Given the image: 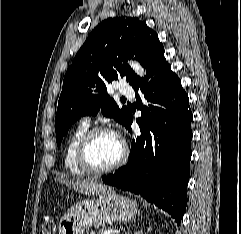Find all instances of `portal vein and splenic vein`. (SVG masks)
<instances>
[{"label":"portal vein and splenic vein","mask_w":241,"mask_h":234,"mask_svg":"<svg viewBox=\"0 0 241 234\" xmlns=\"http://www.w3.org/2000/svg\"><path fill=\"white\" fill-rule=\"evenodd\" d=\"M111 233H112V234H115L114 231H113V232H112V231H106L104 234H111Z\"/></svg>","instance_id":"portal-vein-and-splenic-vein-1"}]
</instances>
